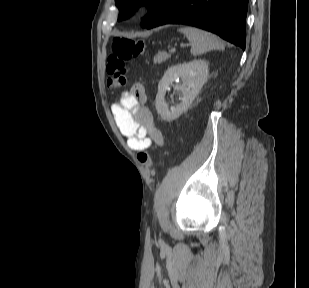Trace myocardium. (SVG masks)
Returning <instances> with one entry per match:
<instances>
[{
	"instance_id": "obj_1",
	"label": "myocardium",
	"mask_w": 309,
	"mask_h": 288,
	"mask_svg": "<svg viewBox=\"0 0 309 288\" xmlns=\"http://www.w3.org/2000/svg\"><path fill=\"white\" fill-rule=\"evenodd\" d=\"M143 11V7L139 4H134L130 7L129 14L132 17L139 16Z\"/></svg>"
}]
</instances>
